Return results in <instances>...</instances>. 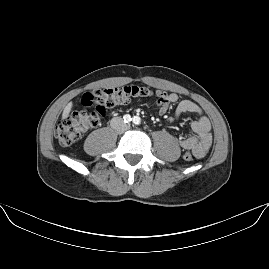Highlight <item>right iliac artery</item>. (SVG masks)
Wrapping results in <instances>:
<instances>
[{"instance_id":"obj_1","label":"right iliac artery","mask_w":269,"mask_h":269,"mask_svg":"<svg viewBox=\"0 0 269 269\" xmlns=\"http://www.w3.org/2000/svg\"><path fill=\"white\" fill-rule=\"evenodd\" d=\"M124 122L125 123H129L131 120H132V118H131V116L129 115V114H127V115H124Z\"/></svg>"}]
</instances>
